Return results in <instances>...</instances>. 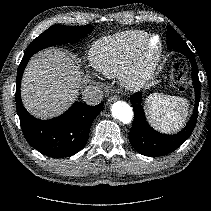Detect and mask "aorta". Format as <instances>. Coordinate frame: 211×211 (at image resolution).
<instances>
[{"label":"aorta","mask_w":211,"mask_h":211,"mask_svg":"<svg viewBox=\"0 0 211 211\" xmlns=\"http://www.w3.org/2000/svg\"><path fill=\"white\" fill-rule=\"evenodd\" d=\"M112 116L124 124L132 121L133 110L131 106L124 101H117L111 107Z\"/></svg>","instance_id":"aorta-1"}]
</instances>
